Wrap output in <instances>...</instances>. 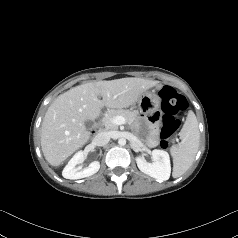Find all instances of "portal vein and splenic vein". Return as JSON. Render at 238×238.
I'll use <instances>...</instances> for the list:
<instances>
[{
  "label": "portal vein and splenic vein",
  "instance_id": "obj_1",
  "mask_svg": "<svg viewBox=\"0 0 238 238\" xmlns=\"http://www.w3.org/2000/svg\"><path fill=\"white\" fill-rule=\"evenodd\" d=\"M112 123L115 125H122L126 123V119L122 116H116L112 119Z\"/></svg>",
  "mask_w": 238,
  "mask_h": 238
}]
</instances>
